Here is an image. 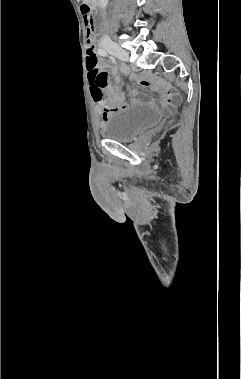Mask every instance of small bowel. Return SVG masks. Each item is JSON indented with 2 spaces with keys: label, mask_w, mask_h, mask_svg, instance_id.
Returning <instances> with one entry per match:
<instances>
[{
  "label": "small bowel",
  "mask_w": 241,
  "mask_h": 379,
  "mask_svg": "<svg viewBox=\"0 0 241 379\" xmlns=\"http://www.w3.org/2000/svg\"><path fill=\"white\" fill-rule=\"evenodd\" d=\"M91 30L93 32V28H91ZM100 70H102V69H100ZM103 72H105V71H103ZM105 74L107 75L106 72H105ZM114 80L116 83H119V81H120L118 76H115ZM138 82H139V85L143 88L151 87L155 91L161 92L163 95V98H164L163 103H164V106L166 108L173 109L178 105L179 99L176 97L175 94H173L170 91V89L167 85H165L161 82L151 81V80L146 79V78H140L138 80ZM105 88H108V98L110 100L118 103V109H124L126 107V104L123 102V94L121 92H116L111 87H109L108 75H107V83H106ZM91 92H92L93 98L97 104V111H98L99 115L102 117L103 120H106L109 116L108 111L105 110L103 108V106L100 104V102L94 97L93 89H91Z\"/></svg>",
  "instance_id": "c3829d8e"
}]
</instances>
